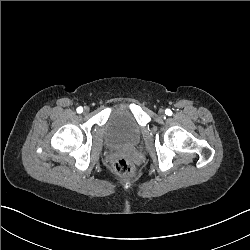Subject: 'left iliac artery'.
I'll use <instances>...</instances> for the list:
<instances>
[{"instance_id":"obj_1","label":"left iliac artery","mask_w":250,"mask_h":250,"mask_svg":"<svg viewBox=\"0 0 250 250\" xmlns=\"http://www.w3.org/2000/svg\"><path fill=\"white\" fill-rule=\"evenodd\" d=\"M165 113H166V115H169V116L172 115V111H171L170 109H166V110H165Z\"/></svg>"}]
</instances>
